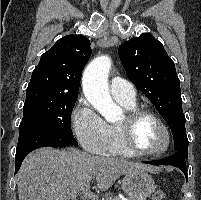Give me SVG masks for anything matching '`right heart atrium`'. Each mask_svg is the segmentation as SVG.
<instances>
[{
	"label": "right heart atrium",
	"instance_id": "d8ad5b80",
	"mask_svg": "<svg viewBox=\"0 0 201 200\" xmlns=\"http://www.w3.org/2000/svg\"><path fill=\"white\" fill-rule=\"evenodd\" d=\"M73 132L88 152L103 154L106 150L108 127L102 117L86 100H81L71 117Z\"/></svg>",
	"mask_w": 201,
	"mask_h": 200
}]
</instances>
